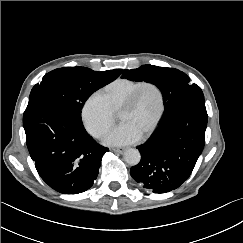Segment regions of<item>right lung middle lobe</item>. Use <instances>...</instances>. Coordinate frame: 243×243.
Returning <instances> with one entry per match:
<instances>
[{
	"label": "right lung middle lobe",
	"instance_id": "right-lung-middle-lobe-1",
	"mask_svg": "<svg viewBox=\"0 0 243 243\" xmlns=\"http://www.w3.org/2000/svg\"><path fill=\"white\" fill-rule=\"evenodd\" d=\"M110 70L97 72L86 67H64L44 75L36 84L29 100L45 99L68 108L80 121L81 110L92 93L116 79Z\"/></svg>",
	"mask_w": 243,
	"mask_h": 243
}]
</instances>
